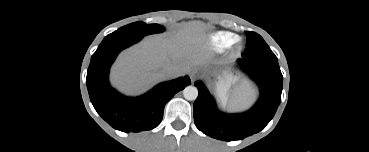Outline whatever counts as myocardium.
I'll return each instance as SVG.
<instances>
[{"label":"myocardium","mask_w":369,"mask_h":152,"mask_svg":"<svg viewBox=\"0 0 369 152\" xmlns=\"http://www.w3.org/2000/svg\"><path fill=\"white\" fill-rule=\"evenodd\" d=\"M243 49V45L242 44H238L237 46H236V50L237 51H241Z\"/></svg>","instance_id":"1"}]
</instances>
